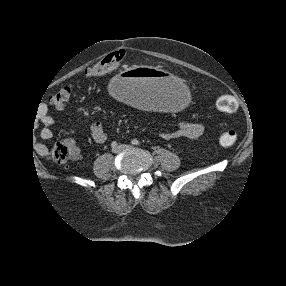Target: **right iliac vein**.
Masks as SVG:
<instances>
[{"label": "right iliac vein", "instance_id": "63e3f726", "mask_svg": "<svg viewBox=\"0 0 286 286\" xmlns=\"http://www.w3.org/2000/svg\"><path fill=\"white\" fill-rule=\"evenodd\" d=\"M112 152L115 153V154H117V153L120 152V149L117 148V147H115V148L112 149Z\"/></svg>", "mask_w": 286, "mask_h": 286}]
</instances>
